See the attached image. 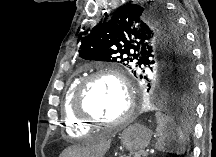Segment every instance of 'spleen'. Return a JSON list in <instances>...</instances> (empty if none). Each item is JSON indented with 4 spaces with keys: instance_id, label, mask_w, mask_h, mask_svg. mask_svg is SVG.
Masks as SVG:
<instances>
[{
    "instance_id": "obj_1",
    "label": "spleen",
    "mask_w": 216,
    "mask_h": 157,
    "mask_svg": "<svg viewBox=\"0 0 216 157\" xmlns=\"http://www.w3.org/2000/svg\"><path fill=\"white\" fill-rule=\"evenodd\" d=\"M157 120L156 143L158 151L181 155L185 152L186 134L176 121L160 112L155 114Z\"/></svg>"
}]
</instances>
